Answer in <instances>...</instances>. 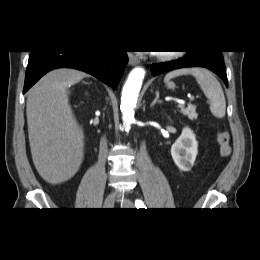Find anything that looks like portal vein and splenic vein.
I'll list each match as a JSON object with an SVG mask.
<instances>
[{"label":"portal vein and splenic vein","instance_id":"18ae733b","mask_svg":"<svg viewBox=\"0 0 260 260\" xmlns=\"http://www.w3.org/2000/svg\"><path fill=\"white\" fill-rule=\"evenodd\" d=\"M182 106H183V104H182V103H179V104H178V107H182Z\"/></svg>","mask_w":260,"mask_h":260}]
</instances>
